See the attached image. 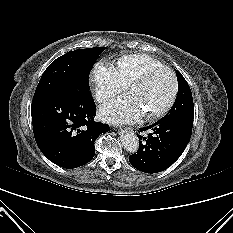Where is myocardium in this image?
Masks as SVG:
<instances>
[{"label":"myocardium","mask_w":233,"mask_h":233,"mask_svg":"<svg viewBox=\"0 0 233 233\" xmlns=\"http://www.w3.org/2000/svg\"><path fill=\"white\" fill-rule=\"evenodd\" d=\"M160 70H164L167 71L172 78V90L170 93V96L168 98V100L166 101V103L157 111L150 113V114H143V116L147 119V120H154L157 118L162 117L164 114H166L169 109L172 107V105L175 102L177 93H178V80H177V76L175 74V72L164 65L161 66H154V67H149L146 70H144L142 73H140L138 76H136L129 84H128V90H130L133 86L138 85L143 83L144 81L147 80V78L153 74L156 71H160Z\"/></svg>","instance_id":"f54148a6"}]
</instances>
